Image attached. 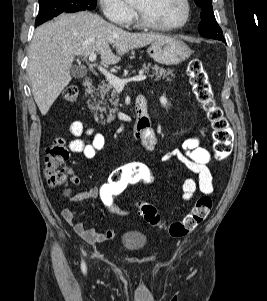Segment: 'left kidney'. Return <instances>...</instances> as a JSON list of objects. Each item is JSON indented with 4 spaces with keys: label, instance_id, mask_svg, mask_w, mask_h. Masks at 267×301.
Listing matches in <instances>:
<instances>
[{
    "label": "left kidney",
    "instance_id": "left-kidney-1",
    "mask_svg": "<svg viewBox=\"0 0 267 301\" xmlns=\"http://www.w3.org/2000/svg\"><path fill=\"white\" fill-rule=\"evenodd\" d=\"M160 102H161L162 105L166 106L167 105L166 97H164V96L160 97Z\"/></svg>",
    "mask_w": 267,
    "mask_h": 301
}]
</instances>
